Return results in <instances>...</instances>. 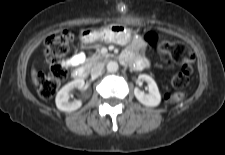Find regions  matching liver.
Wrapping results in <instances>:
<instances>
[{
  "label": "liver",
  "instance_id": "obj_1",
  "mask_svg": "<svg viewBox=\"0 0 225 155\" xmlns=\"http://www.w3.org/2000/svg\"><path fill=\"white\" fill-rule=\"evenodd\" d=\"M32 78H33V81L34 83L37 85V79H36V74H35V70H32Z\"/></svg>",
  "mask_w": 225,
  "mask_h": 155
}]
</instances>
